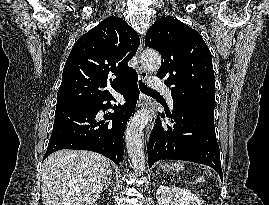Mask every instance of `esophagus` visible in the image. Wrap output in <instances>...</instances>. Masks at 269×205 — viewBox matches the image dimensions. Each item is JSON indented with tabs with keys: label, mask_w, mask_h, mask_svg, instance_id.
<instances>
[{
	"label": "esophagus",
	"mask_w": 269,
	"mask_h": 205,
	"mask_svg": "<svg viewBox=\"0 0 269 205\" xmlns=\"http://www.w3.org/2000/svg\"><path fill=\"white\" fill-rule=\"evenodd\" d=\"M143 51V40L141 39V42H140V46L136 52V58L138 60V62H140V57H141V53ZM138 72H139V76L140 78L143 80V81H146L147 78H148V74L147 72L141 67L139 66L138 68ZM149 103L148 101H146L144 98H143V101L141 103L142 106H147ZM154 122H155V116L153 115L146 127V134L148 135L150 133V131L152 130L153 126H154Z\"/></svg>",
	"instance_id": "34e87169"
}]
</instances>
